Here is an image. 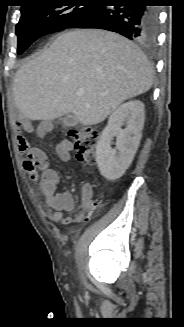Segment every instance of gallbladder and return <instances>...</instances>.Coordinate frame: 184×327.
Instances as JSON below:
<instances>
[{
  "mask_svg": "<svg viewBox=\"0 0 184 327\" xmlns=\"http://www.w3.org/2000/svg\"><path fill=\"white\" fill-rule=\"evenodd\" d=\"M77 122H78V120H77V118L73 114L66 115L62 119V124L65 127L75 126L77 124Z\"/></svg>",
  "mask_w": 184,
  "mask_h": 327,
  "instance_id": "obj_1",
  "label": "gallbladder"
}]
</instances>
